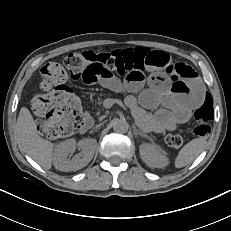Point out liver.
<instances>
[{
  "label": "liver",
  "instance_id": "1",
  "mask_svg": "<svg viewBox=\"0 0 231 231\" xmlns=\"http://www.w3.org/2000/svg\"><path fill=\"white\" fill-rule=\"evenodd\" d=\"M16 131L22 149L39 165L50 169L55 145L39 136L33 116L26 107L20 109Z\"/></svg>",
  "mask_w": 231,
  "mask_h": 231
}]
</instances>
